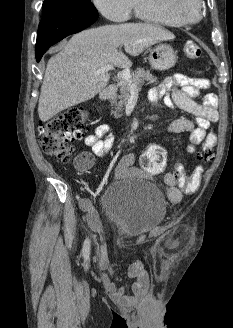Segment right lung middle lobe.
<instances>
[{
    "mask_svg": "<svg viewBox=\"0 0 233 328\" xmlns=\"http://www.w3.org/2000/svg\"><path fill=\"white\" fill-rule=\"evenodd\" d=\"M45 8H64L97 12L90 0H45L43 9Z\"/></svg>",
    "mask_w": 233,
    "mask_h": 328,
    "instance_id": "obj_1",
    "label": "right lung middle lobe"
}]
</instances>
